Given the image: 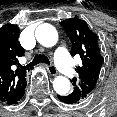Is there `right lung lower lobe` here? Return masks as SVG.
Here are the masks:
<instances>
[{"instance_id":"right-lung-lower-lobe-1","label":"right lung lower lobe","mask_w":117,"mask_h":117,"mask_svg":"<svg viewBox=\"0 0 117 117\" xmlns=\"http://www.w3.org/2000/svg\"><path fill=\"white\" fill-rule=\"evenodd\" d=\"M26 85H27V82L25 81L20 86L19 90L16 92V94L14 95V97H12L11 99H9L5 103L9 104V105L17 104L20 101V99L23 97V95H24Z\"/></svg>"}]
</instances>
